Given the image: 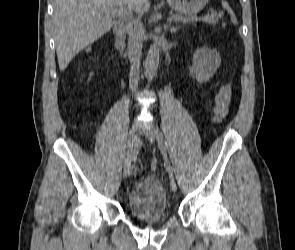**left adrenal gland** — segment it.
I'll list each match as a JSON object with an SVG mask.
<instances>
[{
    "mask_svg": "<svg viewBox=\"0 0 295 250\" xmlns=\"http://www.w3.org/2000/svg\"><path fill=\"white\" fill-rule=\"evenodd\" d=\"M165 28H167L171 33H176L177 32V30L179 29V27H171L169 24H167L166 26H165Z\"/></svg>",
    "mask_w": 295,
    "mask_h": 250,
    "instance_id": "left-adrenal-gland-1",
    "label": "left adrenal gland"
}]
</instances>
